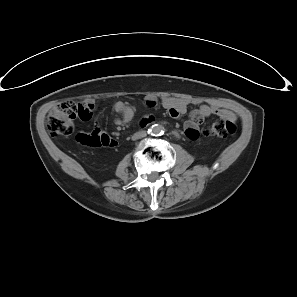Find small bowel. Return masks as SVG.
Masks as SVG:
<instances>
[{
	"instance_id": "obj_1",
	"label": "small bowel",
	"mask_w": 297,
	"mask_h": 297,
	"mask_svg": "<svg viewBox=\"0 0 297 297\" xmlns=\"http://www.w3.org/2000/svg\"><path fill=\"white\" fill-rule=\"evenodd\" d=\"M147 107H154L156 101L153 98H147L145 100ZM162 105L168 110L172 117H178L185 114L188 110L189 101L186 99H178L173 97H166L162 100ZM115 110L121 115V118L116 119V125L120 126L124 123H128L133 119L134 110L131 106L124 102H118L115 104ZM212 114L224 115L228 118H233V115L216 106H209L206 104H200L199 107L190 113V118L185 122V133L190 139H197L199 137L198 125L203 121V119L211 116ZM151 118L145 120V122H150Z\"/></svg>"
}]
</instances>
